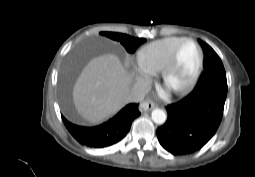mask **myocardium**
Returning <instances> with one entry per match:
<instances>
[{
	"instance_id": "obj_1",
	"label": "myocardium",
	"mask_w": 255,
	"mask_h": 177,
	"mask_svg": "<svg viewBox=\"0 0 255 177\" xmlns=\"http://www.w3.org/2000/svg\"><path fill=\"white\" fill-rule=\"evenodd\" d=\"M189 43L193 44L198 51V63H197L196 69H195L194 74L191 77V79L183 86H181L177 89H174V91L178 94H184V93L189 92L199 81V78H200V75H201V72L203 69V63H204V54H203V50L200 47V45L193 39L185 38L182 42H180L176 46L170 59L164 65V67L162 68V72H161V77H162L163 82L167 83L169 75L177 63V60H178V57H179V54H180L182 48L186 44H189Z\"/></svg>"
}]
</instances>
